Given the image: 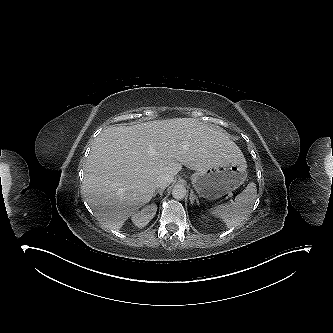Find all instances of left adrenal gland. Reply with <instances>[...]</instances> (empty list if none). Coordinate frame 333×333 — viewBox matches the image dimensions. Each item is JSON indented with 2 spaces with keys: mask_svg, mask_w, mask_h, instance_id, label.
<instances>
[{
  "mask_svg": "<svg viewBox=\"0 0 333 333\" xmlns=\"http://www.w3.org/2000/svg\"><path fill=\"white\" fill-rule=\"evenodd\" d=\"M190 203L193 205L194 202L196 201L197 205H199V200L198 198L196 197V195L193 193V191H191L190 193Z\"/></svg>",
  "mask_w": 333,
  "mask_h": 333,
  "instance_id": "a2214340",
  "label": "left adrenal gland"
}]
</instances>
